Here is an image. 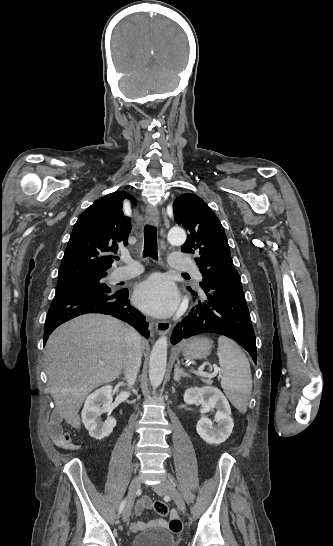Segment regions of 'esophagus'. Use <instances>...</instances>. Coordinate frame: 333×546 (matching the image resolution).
<instances>
[{
	"instance_id": "obj_1",
	"label": "esophagus",
	"mask_w": 333,
	"mask_h": 546,
	"mask_svg": "<svg viewBox=\"0 0 333 546\" xmlns=\"http://www.w3.org/2000/svg\"><path fill=\"white\" fill-rule=\"evenodd\" d=\"M146 217L148 223L158 225L159 212L156 207L149 205L146 210ZM155 327L158 334H164L170 331L171 323L167 320H161L156 323Z\"/></svg>"
}]
</instances>
